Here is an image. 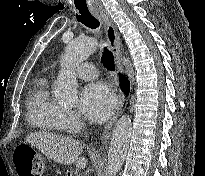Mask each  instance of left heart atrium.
<instances>
[{
	"mask_svg": "<svg viewBox=\"0 0 205 176\" xmlns=\"http://www.w3.org/2000/svg\"><path fill=\"white\" fill-rule=\"evenodd\" d=\"M115 103L113 90L104 82L90 83L82 90L80 107L92 121H105L110 116Z\"/></svg>",
	"mask_w": 205,
	"mask_h": 176,
	"instance_id": "left-heart-atrium-1",
	"label": "left heart atrium"
}]
</instances>
